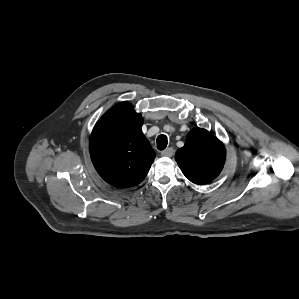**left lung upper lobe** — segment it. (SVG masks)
Listing matches in <instances>:
<instances>
[{"label": "left lung upper lobe", "instance_id": "5c2ea615", "mask_svg": "<svg viewBox=\"0 0 299 299\" xmlns=\"http://www.w3.org/2000/svg\"><path fill=\"white\" fill-rule=\"evenodd\" d=\"M226 158L224 145L207 130L193 128L175 159L183 174L195 184H206L221 172Z\"/></svg>", "mask_w": 299, "mask_h": 299}]
</instances>
